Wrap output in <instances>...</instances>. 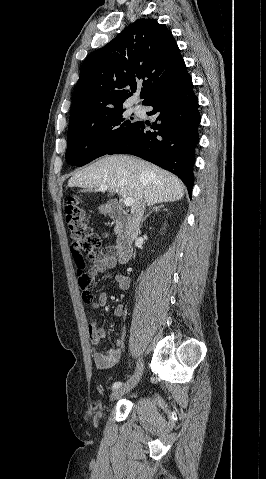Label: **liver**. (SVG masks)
Wrapping results in <instances>:
<instances>
[{
    "instance_id": "6515ba94",
    "label": "liver",
    "mask_w": 266,
    "mask_h": 479,
    "mask_svg": "<svg viewBox=\"0 0 266 479\" xmlns=\"http://www.w3.org/2000/svg\"><path fill=\"white\" fill-rule=\"evenodd\" d=\"M106 185L110 195L132 197V211L141 203L153 205L174 202L184 196V185L172 173L147 161L127 156H105L81 171L68 181L69 187L96 189Z\"/></svg>"
}]
</instances>
